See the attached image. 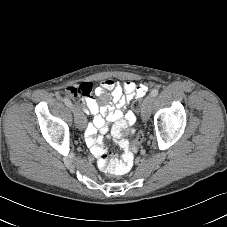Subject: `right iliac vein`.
I'll return each instance as SVG.
<instances>
[{"mask_svg":"<svg viewBox=\"0 0 227 227\" xmlns=\"http://www.w3.org/2000/svg\"><path fill=\"white\" fill-rule=\"evenodd\" d=\"M72 111L74 113V122H75L76 127L79 130H83L85 127V120H84V116H83L82 112L76 106L72 107Z\"/></svg>","mask_w":227,"mask_h":227,"instance_id":"obj_1","label":"right iliac vein"}]
</instances>
